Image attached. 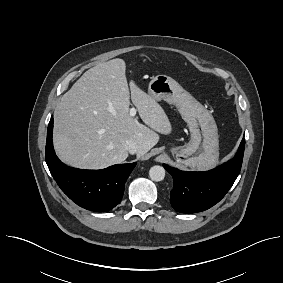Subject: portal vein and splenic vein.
Instances as JSON below:
<instances>
[{
    "mask_svg": "<svg viewBox=\"0 0 283 283\" xmlns=\"http://www.w3.org/2000/svg\"><path fill=\"white\" fill-rule=\"evenodd\" d=\"M136 112H137L136 108H134V107L131 108V109H130V116H131V117H134V116L136 115Z\"/></svg>",
    "mask_w": 283,
    "mask_h": 283,
    "instance_id": "obj_1",
    "label": "portal vein and splenic vein"
}]
</instances>
